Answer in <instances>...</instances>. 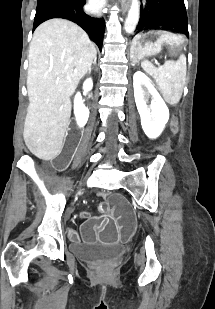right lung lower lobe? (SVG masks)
<instances>
[{"instance_id": "obj_1", "label": "right lung lower lobe", "mask_w": 215, "mask_h": 309, "mask_svg": "<svg viewBox=\"0 0 215 309\" xmlns=\"http://www.w3.org/2000/svg\"><path fill=\"white\" fill-rule=\"evenodd\" d=\"M83 5H66L61 3H49L36 9L33 31L44 21L52 18L68 19L81 26L90 38L102 49L105 22L103 19H94L86 15Z\"/></svg>"}]
</instances>
